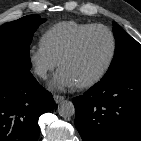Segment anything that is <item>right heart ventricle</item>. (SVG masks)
<instances>
[{
	"label": "right heart ventricle",
	"instance_id": "right-heart-ventricle-1",
	"mask_svg": "<svg viewBox=\"0 0 141 141\" xmlns=\"http://www.w3.org/2000/svg\"><path fill=\"white\" fill-rule=\"evenodd\" d=\"M91 23L74 20L60 21L50 26L40 37V45L58 61L61 54L71 44L74 38Z\"/></svg>",
	"mask_w": 141,
	"mask_h": 141
}]
</instances>
